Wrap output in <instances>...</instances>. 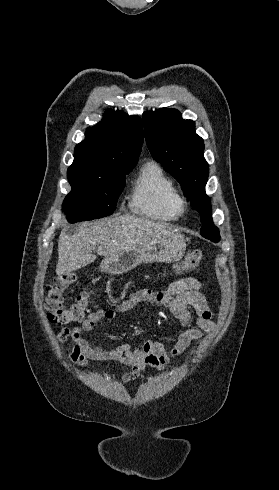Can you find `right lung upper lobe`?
Returning <instances> with one entry per match:
<instances>
[{"mask_svg":"<svg viewBox=\"0 0 279 490\" xmlns=\"http://www.w3.org/2000/svg\"><path fill=\"white\" fill-rule=\"evenodd\" d=\"M142 144L141 119L110 110L101 122L87 128L85 139L75 147L68 173L104 175L136 165Z\"/></svg>","mask_w":279,"mask_h":490,"instance_id":"1","label":"right lung upper lobe"}]
</instances>
